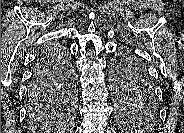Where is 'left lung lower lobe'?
Wrapping results in <instances>:
<instances>
[{"label":"left lung lower lobe","mask_w":184,"mask_h":133,"mask_svg":"<svg viewBox=\"0 0 184 133\" xmlns=\"http://www.w3.org/2000/svg\"><path fill=\"white\" fill-rule=\"evenodd\" d=\"M135 91L138 95H149L152 93V89L145 85L144 83H138V85L135 86Z\"/></svg>","instance_id":"obj_1"}]
</instances>
